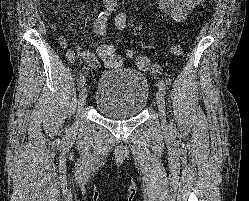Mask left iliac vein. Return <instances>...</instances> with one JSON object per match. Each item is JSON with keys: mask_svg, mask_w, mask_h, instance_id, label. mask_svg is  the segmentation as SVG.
Wrapping results in <instances>:
<instances>
[{"mask_svg": "<svg viewBox=\"0 0 249 201\" xmlns=\"http://www.w3.org/2000/svg\"><path fill=\"white\" fill-rule=\"evenodd\" d=\"M156 101H157V105H158V109H159V115L161 118V122L162 125L164 127H166V114H165V99H164V95L163 92L161 90H158L156 92Z\"/></svg>", "mask_w": 249, "mask_h": 201, "instance_id": "1", "label": "left iliac vein"}]
</instances>
